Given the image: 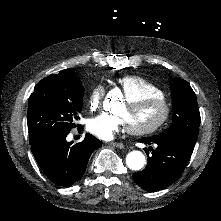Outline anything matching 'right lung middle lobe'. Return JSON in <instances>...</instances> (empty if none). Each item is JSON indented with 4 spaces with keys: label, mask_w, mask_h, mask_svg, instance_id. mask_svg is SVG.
<instances>
[{
    "label": "right lung middle lobe",
    "mask_w": 221,
    "mask_h": 221,
    "mask_svg": "<svg viewBox=\"0 0 221 221\" xmlns=\"http://www.w3.org/2000/svg\"><path fill=\"white\" fill-rule=\"evenodd\" d=\"M84 88L70 69L42 79L29 97V142L69 134L82 109Z\"/></svg>",
    "instance_id": "right-lung-middle-lobe-1"
}]
</instances>
